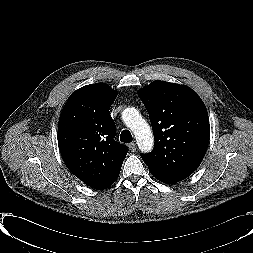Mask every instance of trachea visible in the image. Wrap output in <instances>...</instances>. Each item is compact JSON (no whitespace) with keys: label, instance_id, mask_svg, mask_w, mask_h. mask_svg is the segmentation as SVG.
<instances>
[{"label":"trachea","instance_id":"1","mask_svg":"<svg viewBox=\"0 0 253 253\" xmlns=\"http://www.w3.org/2000/svg\"><path fill=\"white\" fill-rule=\"evenodd\" d=\"M133 137L129 130H123L120 134V141L123 143H130L132 142Z\"/></svg>","mask_w":253,"mask_h":253}]
</instances>
